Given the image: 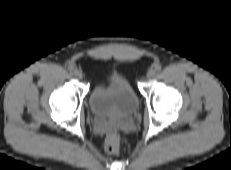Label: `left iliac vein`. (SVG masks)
Masks as SVG:
<instances>
[{
    "mask_svg": "<svg viewBox=\"0 0 231 170\" xmlns=\"http://www.w3.org/2000/svg\"><path fill=\"white\" fill-rule=\"evenodd\" d=\"M154 75H155V70L154 69H149L147 74H146V77L148 79H151L152 77H154Z\"/></svg>",
    "mask_w": 231,
    "mask_h": 170,
    "instance_id": "left-iliac-vein-1",
    "label": "left iliac vein"
}]
</instances>
